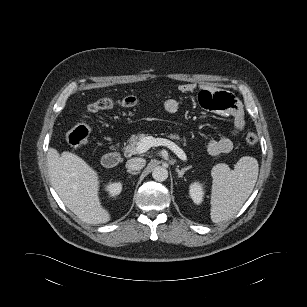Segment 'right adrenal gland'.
Listing matches in <instances>:
<instances>
[{
    "instance_id": "1",
    "label": "right adrenal gland",
    "mask_w": 307,
    "mask_h": 307,
    "mask_svg": "<svg viewBox=\"0 0 307 307\" xmlns=\"http://www.w3.org/2000/svg\"><path fill=\"white\" fill-rule=\"evenodd\" d=\"M127 172L130 173V174H132V175H137V174H139V171H138V172H133V171H131V170H127Z\"/></svg>"
}]
</instances>
